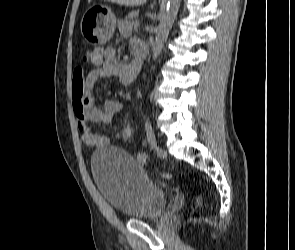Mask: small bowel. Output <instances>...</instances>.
<instances>
[{
	"label": "small bowel",
	"mask_w": 295,
	"mask_h": 250,
	"mask_svg": "<svg viewBox=\"0 0 295 250\" xmlns=\"http://www.w3.org/2000/svg\"><path fill=\"white\" fill-rule=\"evenodd\" d=\"M122 35L129 36L130 27L126 22L119 23ZM131 46L135 50L141 47L139 40L133 39ZM94 69L86 76L81 67H77L72 80L73 110L77 118L78 129L82 133V142L87 147H103L111 144V138L93 131L96 124H109L122 109V104L113 99H106L100 108L95 106L94 91L96 82L105 77L116 76L124 84L133 82L139 69L134 61L121 62L113 47L96 48L90 60ZM142 159L141 156H139Z\"/></svg>",
	"instance_id": "1"
}]
</instances>
